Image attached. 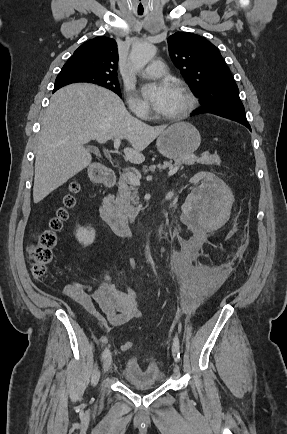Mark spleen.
<instances>
[{
    "mask_svg": "<svg viewBox=\"0 0 287 434\" xmlns=\"http://www.w3.org/2000/svg\"><path fill=\"white\" fill-rule=\"evenodd\" d=\"M213 222H215V224H219V223H221L222 221H220V222H217V221H213Z\"/></svg>",
    "mask_w": 287,
    "mask_h": 434,
    "instance_id": "obj_1",
    "label": "spleen"
}]
</instances>
